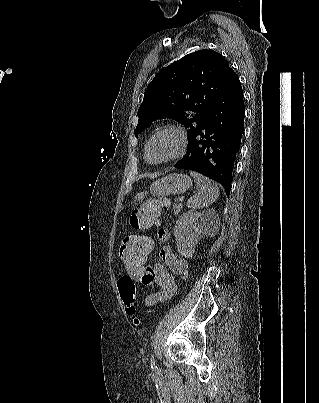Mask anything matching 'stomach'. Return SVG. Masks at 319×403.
Wrapping results in <instances>:
<instances>
[{"instance_id": "obj_1", "label": "stomach", "mask_w": 319, "mask_h": 403, "mask_svg": "<svg viewBox=\"0 0 319 403\" xmlns=\"http://www.w3.org/2000/svg\"><path fill=\"white\" fill-rule=\"evenodd\" d=\"M191 185L192 181L187 175L173 173L153 182L150 186V193L160 197L183 194ZM146 193H138L135 199L138 201L142 200Z\"/></svg>"}]
</instances>
